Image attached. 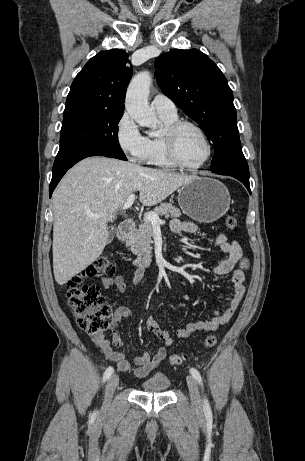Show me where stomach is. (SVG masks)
<instances>
[{
    "label": "stomach",
    "mask_w": 305,
    "mask_h": 461,
    "mask_svg": "<svg viewBox=\"0 0 305 461\" xmlns=\"http://www.w3.org/2000/svg\"><path fill=\"white\" fill-rule=\"evenodd\" d=\"M230 194L220 181L196 176L179 189L181 210L195 221L211 223L221 218L229 209Z\"/></svg>",
    "instance_id": "1"
}]
</instances>
